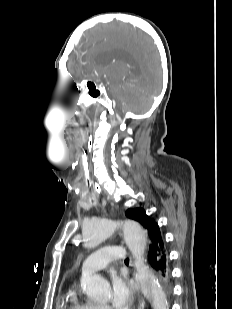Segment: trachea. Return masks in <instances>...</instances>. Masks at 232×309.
<instances>
[{"instance_id": "obj_1", "label": "trachea", "mask_w": 232, "mask_h": 309, "mask_svg": "<svg viewBox=\"0 0 232 309\" xmlns=\"http://www.w3.org/2000/svg\"><path fill=\"white\" fill-rule=\"evenodd\" d=\"M81 153V165H82V173L85 180V184L87 189L91 190V167L88 159L87 151L84 148L79 147ZM125 261H129V259H125Z\"/></svg>"}]
</instances>
